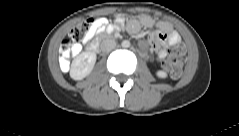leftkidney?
Masks as SVG:
<instances>
[{"instance_id":"1","label":"left kidney","mask_w":239,"mask_h":136,"mask_svg":"<svg viewBox=\"0 0 239 136\" xmlns=\"http://www.w3.org/2000/svg\"><path fill=\"white\" fill-rule=\"evenodd\" d=\"M156 75L159 77V78H162V79H165L167 78V73L165 71H162V70H159L156 72Z\"/></svg>"}]
</instances>
